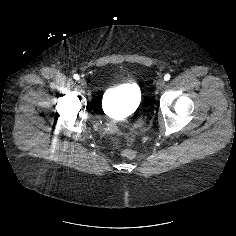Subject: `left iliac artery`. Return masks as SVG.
<instances>
[{
    "instance_id": "obj_1",
    "label": "left iliac artery",
    "mask_w": 236,
    "mask_h": 236,
    "mask_svg": "<svg viewBox=\"0 0 236 236\" xmlns=\"http://www.w3.org/2000/svg\"><path fill=\"white\" fill-rule=\"evenodd\" d=\"M170 77H171L170 74H166V75L164 76V80H165V81H168V80L170 79Z\"/></svg>"
}]
</instances>
